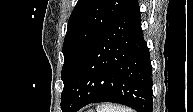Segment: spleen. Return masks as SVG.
Segmentation results:
<instances>
[{"label": "spleen", "mask_w": 193, "mask_h": 112, "mask_svg": "<svg viewBox=\"0 0 193 112\" xmlns=\"http://www.w3.org/2000/svg\"><path fill=\"white\" fill-rule=\"evenodd\" d=\"M97 112H133V110L126 107L114 106L111 104H102L97 109Z\"/></svg>", "instance_id": "obj_1"}]
</instances>
